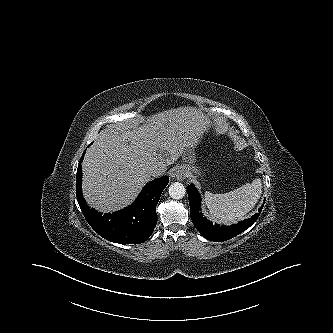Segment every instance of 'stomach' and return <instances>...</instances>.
Here are the masks:
<instances>
[{"label": "stomach", "mask_w": 333, "mask_h": 333, "mask_svg": "<svg viewBox=\"0 0 333 333\" xmlns=\"http://www.w3.org/2000/svg\"><path fill=\"white\" fill-rule=\"evenodd\" d=\"M184 164L183 167L186 169L188 173H195L200 175V169L194 165L196 162L195 153L187 152L183 156Z\"/></svg>", "instance_id": "0dacf381"}]
</instances>
